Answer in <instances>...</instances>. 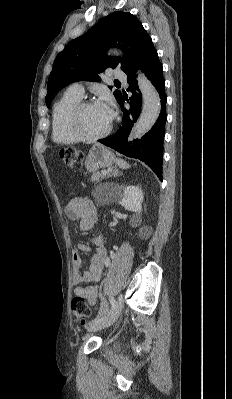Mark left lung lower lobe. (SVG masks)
I'll list each match as a JSON object with an SVG mask.
<instances>
[{
  "instance_id": "1",
  "label": "left lung lower lobe",
  "mask_w": 232,
  "mask_h": 399,
  "mask_svg": "<svg viewBox=\"0 0 232 399\" xmlns=\"http://www.w3.org/2000/svg\"><path fill=\"white\" fill-rule=\"evenodd\" d=\"M136 68L141 69L157 89L161 99V112L156 123L149 132L141 139L128 142L130 130L138 119L142 106V94L140 93L136 80ZM126 74L128 76V90L133 94L129 100L125 96H122L118 102L123 111L122 125L114 135L98 141L119 153L145 162L155 172L158 178L162 180L163 141L165 122L167 119L165 109L167 96L165 95V80L162 75V64L159 61L152 40L141 49L132 68ZM125 100L130 105L128 109L124 107Z\"/></svg>"
}]
</instances>
